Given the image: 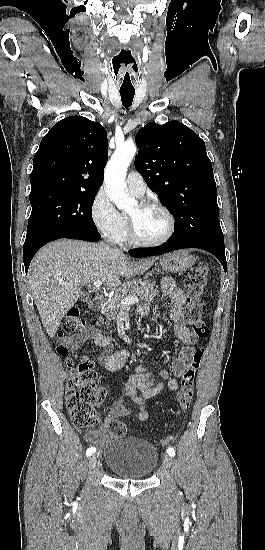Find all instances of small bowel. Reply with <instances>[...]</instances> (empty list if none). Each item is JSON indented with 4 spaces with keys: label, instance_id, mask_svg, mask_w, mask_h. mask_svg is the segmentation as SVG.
Returning <instances> with one entry per match:
<instances>
[{
    "label": "small bowel",
    "instance_id": "small-bowel-1",
    "mask_svg": "<svg viewBox=\"0 0 265 550\" xmlns=\"http://www.w3.org/2000/svg\"><path fill=\"white\" fill-rule=\"evenodd\" d=\"M162 291L171 300L169 317L174 323L176 335L183 343V347L177 356L173 358L170 369H163L159 372L162 381H157L155 375L142 365L138 366L133 373L127 376L125 388L137 408V418L139 421H147L149 418L145 399L156 397L165 387L171 391L178 390L179 383L177 379L183 376L186 370V363L191 360L200 341V337L192 332L184 321L183 305L185 303V295L183 291L170 278L163 280ZM149 311V304H141L137 309V313L140 316L148 315ZM90 341H94L97 346L104 349L98 361L109 370L114 371L119 369L130 355L127 349L115 351L110 339L93 327L88 328L82 334L62 340L72 350L85 347ZM127 414L128 410L126 406L122 404L114 405L101 418V426L98 429H90L86 432V440L96 445L102 444L107 437L105 425L109 421Z\"/></svg>",
    "mask_w": 265,
    "mask_h": 550
}]
</instances>
